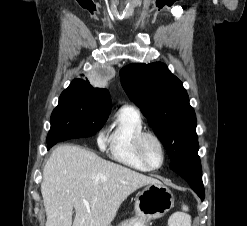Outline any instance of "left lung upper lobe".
<instances>
[{"instance_id": "obj_1", "label": "left lung upper lobe", "mask_w": 247, "mask_h": 226, "mask_svg": "<svg viewBox=\"0 0 247 226\" xmlns=\"http://www.w3.org/2000/svg\"><path fill=\"white\" fill-rule=\"evenodd\" d=\"M122 86L142 111L172 162L195 158L196 116L182 82L160 62L134 63L120 71Z\"/></svg>"}]
</instances>
